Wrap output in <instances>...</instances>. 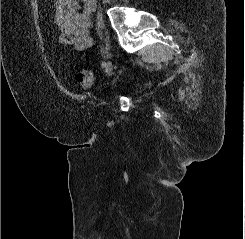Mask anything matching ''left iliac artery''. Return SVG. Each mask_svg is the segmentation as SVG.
I'll use <instances>...</instances> for the list:
<instances>
[{
  "mask_svg": "<svg viewBox=\"0 0 245 239\" xmlns=\"http://www.w3.org/2000/svg\"><path fill=\"white\" fill-rule=\"evenodd\" d=\"M105 65H106V63L103 61L102 64H101L102 68H104Z\"/></svg>",
  "mask_w": 245,
  "mask_h": 239,
  "instance_id": "1",
  "label": "left iliac artery"
}]
</instances>
